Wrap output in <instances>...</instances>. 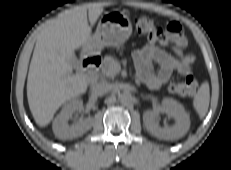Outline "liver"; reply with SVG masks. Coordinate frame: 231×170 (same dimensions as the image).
Listing matches in <instances>:
<instances>
[{
	"label": "liver",
	"mask_w": 231,
	"mask_h": 170,
	"mask_svg": "<svg viewBox=\"0 0 231 170\" xmlns=\"http://www.w3.org/2000/svg\"><path fill=\"white\" fill-rule=\"evenodd\" d=\"M102 12L97 5L88 13L86 6H77L50 20L39 34L27 79L29 108L39 126H47L62 104L86 92L88 80L72 73L74 51L89 43Z\"/></svg>",
	"instance_id": "obj_1"
}]
</instances>
